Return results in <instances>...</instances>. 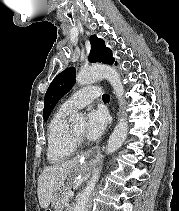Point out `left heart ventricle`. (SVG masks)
<instances>
[{
    "mask_svg": "<svg viewBox=\"0 0 179 211\" xmlns=\"http://www.w3.org/2000/svg\"><path fill=\"white\" fill-rule=\"evenodd\" d=\"M84 130H85L84 126H78V127L73 128V131L80 136L83 135Z\"/></svg>",
    "mask_w": 179,
    "mask_h": 211,
    "instance_id": "obj_1",
    "label": "left heart ventricle"
}]
</instances>
